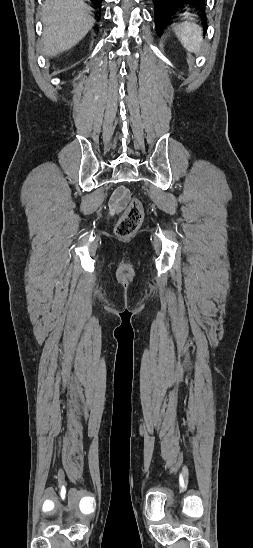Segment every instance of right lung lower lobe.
Segmentation results:
<instances>
[{"mask_svg":"<svg viewBox=\"0 0 253 548\" xmlns=\"http://www.w3.org/2000/svg\"><path fill=\"white\" fill-rule=\"evenodd\" d=\"M95 5L99 6L101 5L102 0H91Z\"/></svg>","mask_w":253,"mask_h":548,"instance_id":"1","label":"right lung lower lobe"}]
</instances>
